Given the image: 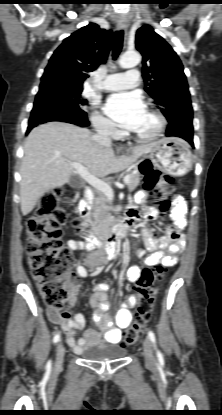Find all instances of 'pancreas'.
I'll list each match as a JSON object with an SVG mask.
<instances>
[{
    "instance_id": "1",
    "label": "pancreas",
    "mask_w": 222,
    "mask_h": 415,
    "mask_svg": "<svg viewBox=\"0 0 222 415\" xmlns=\"http://www.w3.org/2000/svg\"><path fill=\"white\" fill-rule=\"evenodd\" d=\"M139 183H140V173L138 171H136L135 173L130 174V181L128 183L129 191H133L139 185ZM104 201L108 202L107 199H105ZM104 218H105V223L106 224H109L113 219L111 214L108 211H106L105 209H104ZM93 224L95 225L96 222L93 221Z\"/></svg>"
}]
</instances>
